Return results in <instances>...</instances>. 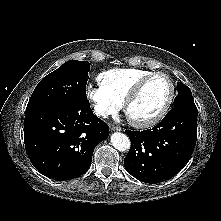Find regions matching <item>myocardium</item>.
Wrapping results in <instances>:
<instances>
[{"mask_svg": "<svg viewBox=\"0 0 221 221\" xmlns=\"http://www.w3.org/2000/svg\"><path fill=\"white\" fill-rule=\"evenodd\" d=\"M156 76H164L170 86V92L169 96L162 107V109L153 117L146 119V120H134L128 116V109L130 105L139 97L141 94L144 86L154 77ZM175 94H176V89H175V84L172 78L165 72L162 71H155L151 72L150 74L144 76L141 78L132 88V90L129 92V94L126 96V98L123 101V109L124 112L129 120V122L137 127V128H150L152 126H155L158 124L163 118L167 115V113L170 110V107L175 99Z\"/></svg>", "mask_w": 221, "mask_h": 221, "instance_id": "myocardium-1", "label": "myocardium"}]
</instances>
